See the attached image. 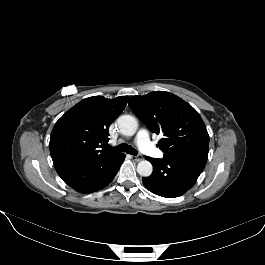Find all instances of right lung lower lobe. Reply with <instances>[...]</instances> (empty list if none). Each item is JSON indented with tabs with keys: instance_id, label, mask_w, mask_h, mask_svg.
Returning a JSON list of instances; mask_svg holds the SVG:
<instances>
[{
	"instance_id": "obj_1",
	"label": "right lung lower lobe",
	"mask_w": 265,
	"mask_h": 265,
	"mask_svg": "<svg viewBox=\"0 0 265 265\" xmlns=\"http://www.w3.org/2000/svg\"><path fill=\"white\" fill-rule=\"evenodd\" d=\"M125 155L92 158L55 166L62 180L80 193H91L107 186L117 174Z\"/></svg>"
}]
</instances>
